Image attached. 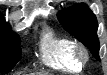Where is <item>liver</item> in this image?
<instances>
[{
  "instance_id": "6515ba94",
  "label": "liver",
  "mask_w": 107,
  "mask_h": 75,
  "mask_svg": "<svg viewBox=\"0 0 107 75\" xmlns=\"http://www.w3.org/2000/svg\"><path fill=\"white\" fill-rule=\"evenodd\" d=\"M20 75V74H19ZM31 75H50L48 72H45V73H41V72H39V73H33V74H31Z\"/></svg>"
}]
</instances>
